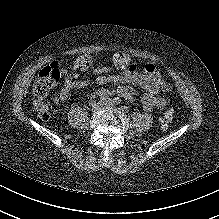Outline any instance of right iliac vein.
<instances>
[{"label": "right iliac vein", "instance_id": "63e3f726", "mask_svg": "<svg viewBox=\"0 0 219 219\" xmlns=\"http://www.w3.org/2000/svg\"><path fill=\"white\" fill-rule=\"evenodd\" d=\"M103 106V104L99 101V102H96L92 105V110L95 112V111H98L101 107Z\"/></svg>", "mask_w": 219, "mask_h": 219}]
</instances>
